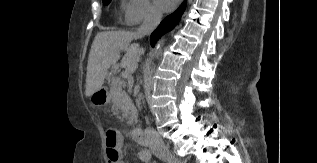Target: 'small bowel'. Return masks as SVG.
Masks as SVG:
<instances>
[{
    "instance_id": "c3829d8e",
    "label": "small bowel",
    "mask_w": 317,
    "mask_h": 163,
    "mask_svg": "<svg viewBox=\"0 0 317 163\" xmlns=\"http://www.w3.org/2000/svg\"><path fill=\"white\" fill-rule=\"evenodd\" d=\"M138 158L141 161V163H151V154L146 149H141L138 152Z\"/></svg>"
}]
</instances>
